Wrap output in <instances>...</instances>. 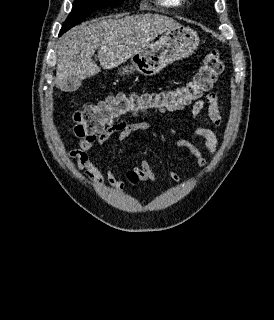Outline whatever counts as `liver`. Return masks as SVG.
I'll return each mask as SVG.
<instances>
[{
	"label": "liver",
	"instance_id": "obj_1",
	"mask_svg": "<svg viewBox=\"0 0 274 320\" xmlns=\"http://www.w3.org/2000/svg\"><path fill=\"white\" fill-rule=\"evenodd\" d=\"M176 26L179 24L175 20L159 14L125 16L121 20L105 16L83 22L58 42L55 84L62 92H74L81 86V80L100 72L92 60L96 50L101 68L111 70L150 48L157 36Z\"/></svg>",
	"mask_w": 274,
	"mask_h": 320
}]
</instances>
